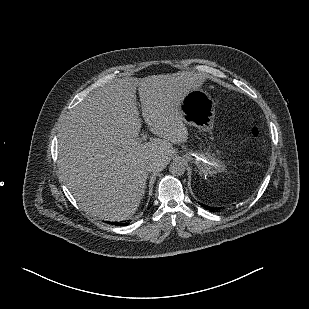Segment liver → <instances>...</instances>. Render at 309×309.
<instances>
[{
	"label": "liver",
	"mask_w": 309,
	"mask_h": 309,
	"mask_svg": "<svg viewBox=\"0 0 309 309\" xmlns=\"http://www.w3.org/2000/svg\"><path fill=\"white\" fill-rule=\"evenodd\" d=\"M159 82L140 86L141 111L156 137L133 146L142 126L136 99L121 81L96 88L62 120L57 166L89 217L121 221L137 210L150 165L164 163L173 144L185 140L170 102L155 94Z\"/></svg>",
	"instance_id": "1"
}]
</instances>
